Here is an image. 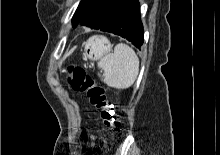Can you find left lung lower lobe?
<instances>
[{
  "instance_id": "left-lung-lower-lobe-1",
  "label": "left lung lower lobe",
  "mask_w": 220,
  "mask_h": 155,
  "mask_svg": "<svg viewBox=\"0 0 220 155\" xmlns=\"http://www.w3.org/2000/svg\"><path fill=\"white\" fill-rule=\"evenodd\" d=\"M79 24L119 35L140 48L144 41L137 0H97Z\"/></svg>"
}]
</instances>
